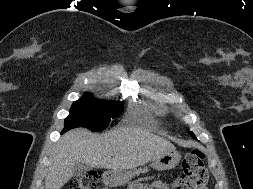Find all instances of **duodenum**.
<instances>
[{
    "mask_svg": "<svg viewBox=\"0 0 253 189\" xmlns=\"http://www.w3.org/2000/svg\"><path fill=\"white\" fill-rule=\"evenodd\" d=\"M113 180H114V175H113L112 173H108V174L106 175V182H107L108 184H110L111 182H113Z\"/></svg>",
    "mask_w": 253,
    "mask_h": 189,
    "instance_id": "1",
    "label": "duodenum"
}]
</instances>
